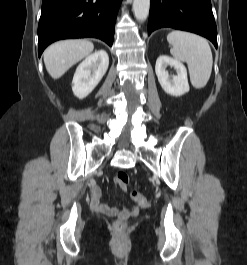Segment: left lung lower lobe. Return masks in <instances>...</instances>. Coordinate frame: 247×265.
Masks as SVG:
<instances>
[{
    "mask_svg": "<svg viewBox=\"0 0 247 265\" xmlns=\"http://www.w3.org/2000/svg\"><path fill=\"white\" fill-rule=\"evenodd\" d=\"M162 27L199 34L217 48V27L210 0H151L148 34Z\"/></svg>",
    "mask_w": 247,
    "mask_h": 265,
    "instance_id": "0a47b994",
    "label": "left lung lower lobe"
}]
</instances>
